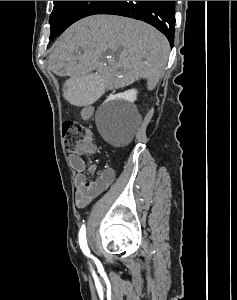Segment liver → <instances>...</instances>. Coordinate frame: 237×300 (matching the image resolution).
<instances>
[{"instance_id":"1","label":"liver","mask_w":237,"mask_h":300,"mask_svg":"<svg viewBox=\"0 0 237 300\" xmlns=\"http://www.w3.org/2000/svg\"><path fill=\"white\" fill-rule=\"evenodd\" d=\"M48 57V69L59 77L97 71L109 91L146 79L148 91L161 79L170 51L157 29L135 19L92 15L71 25ZM122 69V71H121Z\"/></svg>"}]
</instances>
